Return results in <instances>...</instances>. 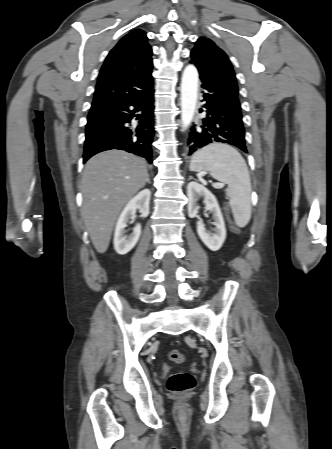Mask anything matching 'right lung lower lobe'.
<instances>
[{
	"label": "right lung lower lobe",
	"instance_id": "1",
	"mask_svg": "<svg viewBox=\"0 0 332 449\" xmlns=\"http://www.w3.org/2000/svg\"><path fill=\"white\" fill-rule=\"evenodd\" d=\"M153 93L152 88L143 96L92 108L87 118L83 161L99 152L119 149L152 163ZM132 119L137 123H132Z\"/></svg>",
	"mask_w": 332,
	"mask_h": 449
}]
</instances>
